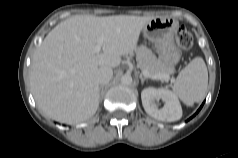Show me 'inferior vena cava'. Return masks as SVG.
Instances as JSON below:
<instances>
[{
	"label": "inferior vena cava",
	"mask_w": 238,
	"mask_h": 158,
	"mask_svg": "<svg viewBox=\"0 0 238 158\" xmlns=\"http://www.w3.org/2000/svg\"><path fill=\"white\" fill-rule=\"evenodd\" d=\"M113 76V70L109 66H100L97 70V82L100 85H105L107 84Z\"/></svg>",
	"instance_id": "obj_1"
}]
</instances>
